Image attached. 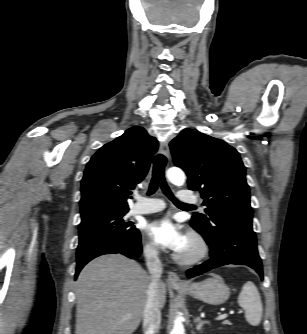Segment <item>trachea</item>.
Returning <instances> with one entry per match:
<instances>
[{"mask_svg":"<svg viewBox=\"0 0 307 334\" xmlns=\"http://www.w3.org/2000/svg\"><path fill=\"white\" fill-rule=\"evenodd\" d=\"M167 163V159L164 155L158 154L156 155L153 163V172H152V179L148 190V195L155 193V191L160 187L163 193L175 204L187 206L190 208H195V206L190 204H185L178 201L172 194L171 190L169 189L165 176H164V169Z\"/></svg>","mask_w":307,"mask_h":334,"instance_id":"obj_1","label":"trachea"}]
</instances>
